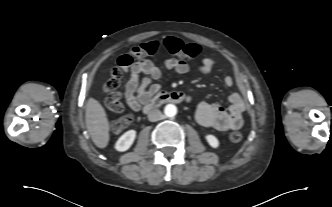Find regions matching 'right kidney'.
Wrapping results in <instances>:
<instances>
[{
  "label": "right kidney",
  "instance_id": "1",
  "mask_svg": "<svg viewBox=\"0 0 332 207\" xmlns=\"http://www.w3.org/2000/svg\"><path fill=\"white\" fill-rule=\"evenodd\" d=\"M136 137V131L135 130H129L125 132L116 142L115 149L120 152H124L128 150Z\"/></svg>",
  "mask_w": 332,
  "mask_h": 207
}]
</instances>
